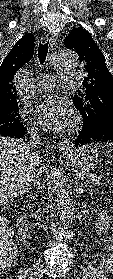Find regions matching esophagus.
<instances>
[{"label": "esophagus", "mask_w": 113, "mask_h": 279, "mask_svg": "<svg viewBox=\"0 0 113 279\" xmlns=\"http://www.w3.org/2000/svg\"><path fill=\"white\" fill-rule=\"evenodd\" d=\"M55 39H56L55 35L51 32L45 35V41L50 43L51 49H53L54 47ZM70 148L71 146L68 140L62 141L58 145L59 153H61L62 155L67 154L70 151Z\"/></svg>", "instance_id": "esophagus-1"}]
</instances>
